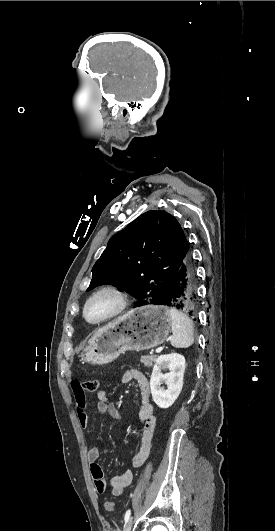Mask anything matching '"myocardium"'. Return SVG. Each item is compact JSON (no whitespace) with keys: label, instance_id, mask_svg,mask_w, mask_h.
<instances>
[{"label":"myocardium","instance_id":"f54148a6","mask_svg":"<svg viewBox=\"0 0 275 531\" xmlns=\"http://www.w3.org/2000/svg\"><path fill=\"white\" fill-rule=\"evenodd\" d=\"M103 297H108L113 300V303H114L113 308L107 314H105L104 316L100 318H97V319L90 318L87 315L88 306L92 302L100 298H103ZM126 306H127L126 293L117 286L108 285V286H104L98 289L85 300L83 307H82V316L87 323L101 324L121 314L125 310Z\"/></svg>","mask_w":275,"mask_h":531}]
</instances>
